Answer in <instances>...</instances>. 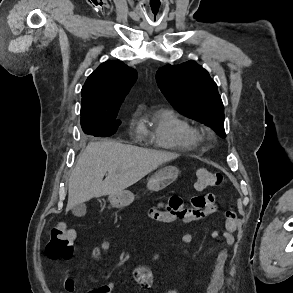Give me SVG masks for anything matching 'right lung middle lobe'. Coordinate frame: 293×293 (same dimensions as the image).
<instances>
[{"label":"right lung middle lobe","mask_w":293,"mask_h":293,"mask_svg":"<svg viewBox=\"0 0 293 293\" xmlns=\"http://www.w3.org/2000/svg\"><path fill=\"white\" fill-rule=\"evenodd\" d=\"M117 113L81 116V126L84 133L94 136L112 135L121 124V121L116 120Z\"/></svg>","instance_id":"1"}]
</instances>
